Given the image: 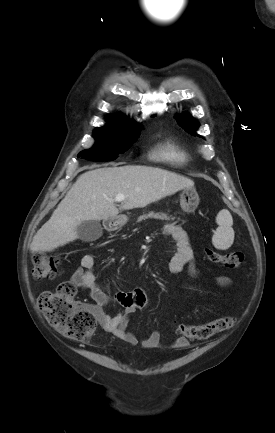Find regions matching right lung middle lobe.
Segmentation results:
<instances>
[{
	"label": "right lung middle lobe",
	"instance_id": "right-lung-middle-lobe-1",
	"mask_svg": "<svg viewBox=\"0 0 275 433\" xmlns=\"http://www.w3.org/2000/svg\"><path fill=\"white\" fill-rule=\"evenodd\" d=\"M139 131L140 126L137 124L97 128L94 131L96 144L91 149L80 152L78 156L91 161H112L118 154L129 149Z\"/></svg>",
	"mask_w": 275,
	"mask_h": 433
}]
</instances>
